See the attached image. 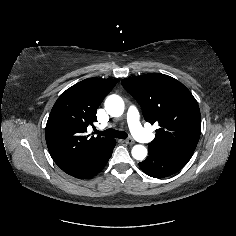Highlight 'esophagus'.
<instances>
[{
    "label": "esophagus",
    "mask_w": 236,
    "mask_h": 236,
    "mask_svg": "<svg viewBox=\"0 0 236 236\" xmlns=\"http://www.w3.org/2000/svg\"><path fill=\"white\" fill-rule=\"evenodd\" d=\"M124 142L129 145H133L135 141L132 138L125 139Z\"/></svg>",
    "instance_id": "obj_1"
}]
</instances>
